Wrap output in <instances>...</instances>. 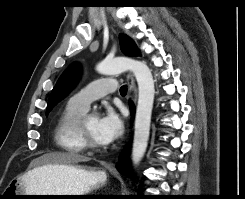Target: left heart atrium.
<instances>
[{"label":"left heart atrium","instance_id":"39dd6f15","mask_svg":"<svg viewBox=\"0 0 245 199\" xmlns=\"http://www.w3.org/2000/svg\"><path fill=\"white\" fill-rule=\"evenodd\" d=\"M124 130L121 116L111 107L98 118L97 134L102 145L109 144L118 139Z\"/></svg>","mask_w":245,"mask_h":199}]
</instances>
